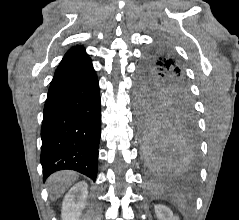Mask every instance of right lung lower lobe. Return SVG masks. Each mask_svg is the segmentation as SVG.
Listing matches in <instances>:
<instances>
[{"label":"right lung lower lobe","instance_id":"98d812e1","mask_svg":"<svg viewBox=\"0 0 239 220\" xmlns=\"http://www.w3.org/2000/svg\"><path fill=\"white\" fill-rule=\"evenodd\" d=\"M100 94L91 60L54 75L41 128L43 178L70 169L97 177Z\"/></svg>","mask_w":239,"mask_h":220}]
</instances>
